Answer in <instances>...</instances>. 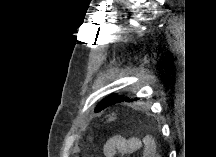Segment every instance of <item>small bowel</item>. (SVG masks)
Returning a JSON list of instances; mask_svg holds the SVG:
<instances>
[{
    "mask_svg": "<svg viewBox=\"0 0 216 157\" xmlns=\"http://www.w3.org/2000/svg\"><path fill=\"white\" fill-rule=\"evenodd\" d=\"M142 152L143 157H153L156 153V144L152 137L144 139L136 137L113 136L103 148L106 157H113L116 153L121 156H134Z\"/></svg>",
    "mask_w": 216,
    "mask_h": 157,
    "instance_id": "small-bowel-1",
    "label": "small bowel"
}]
</instances>
